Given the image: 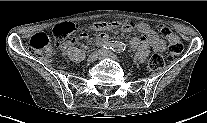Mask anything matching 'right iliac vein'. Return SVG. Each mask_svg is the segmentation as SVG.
<instances>
[{
	"label": "right iliac vein",
	"instance_id": "right-iliac-vein-1",
	"mask_svg": "<svg viewBox=\"0 0 207 123\" xmlns=\"http://www.w3.org/2000/svg\"><path fill=\"white\" fill-rule=\"evenodd\" d=\"M102 57V52L100 50H95L93 51L89 57H88V62H94Z\"/></svg>",
	"mask_w": 207,
	"mask_h": 123
}]
</instances>
